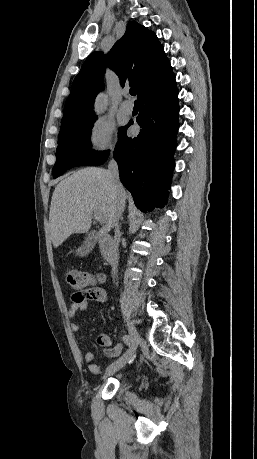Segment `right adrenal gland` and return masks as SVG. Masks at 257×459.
<instances>
[{"instance_id": "right-adrenal-gland-1", "label": "right adrenal gland", "mask_w": 257, "mask_h": 459, "mask_svg": "<svg viewBox=\"0 0 257 459\" xmlns=\"http://www.w3.org/2000/svg\"><path fill=\"white\" fill-rule=\"evenodd\" d=\"M120 220L123 221V216H122V215H121V217H120ZM120 226H121V224H120Z\"/></svg>"}]
</instances>
